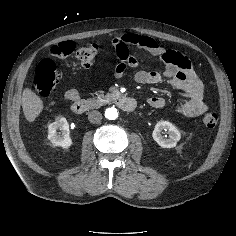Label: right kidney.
I'll return each instance as SVG.
<instances>
[{
    "label": "right kidney",
    "instance_id": "1",
    "mask_svg": "<svg viewBox=\"0 0 236 236\" xmlns=\"http://www.w3.org/2000/svg\"><path fill=\"white\" fill-rule=\"evenodd\" d=\"M60 129L61 133L57 130ZM48 139L55 147L69 148L72 145V139L69 136V125L65 117H58L48 126Z\"/></svg>",
    "mask_w": 236,
    "mask_h": 236
}]
</instances>
